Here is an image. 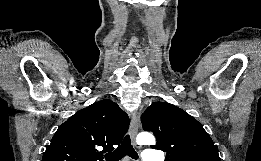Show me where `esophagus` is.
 <instances>
[{"label":"esophagus","instance_id":"1","mask_svg":"<svg viewBox=\"0 0 261 161\" xmlns=\"http://www.w3.org/2000/svg\"><path fill=\"white\" fill-rule=\"evenodd\" d=\"M139 129V118L134 113L131 117V123H130V136L132 139V142L136 145V135L138 133ZM138 148H141V146H137Z\"/></svg>","mask_w":261,"mask_h":161}]
</instances>
